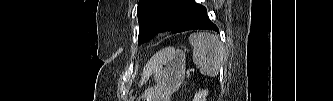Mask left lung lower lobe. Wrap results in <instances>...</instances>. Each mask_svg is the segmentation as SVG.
Returning a JSON list of instances; mask_svg holds the SVG:
<instances>
[{
    "instance_id": "0a47b994",
    "label": "left lung lower lobe",
    "mask_w": 333,
    "mask_h": 101,
    "mask_svg": "<svg viewBox=\"0 0 333 101\" xmlns=\"http://www.w3.org/2000/svg\"><path fill=\"white\" fill-rule=\"evenodd\" d=\"M178 6L184 10V16L179 22L177 32L194 29H207L219 32L207 16L206 8L197 4L194 0H177Z\"/></svg>"
}]
</instances>
